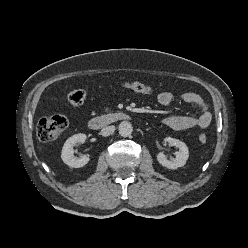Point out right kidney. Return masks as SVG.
<instances>
[{
    "label": "right kidney",
    "mask_w": 248,
    "mask_h": 248,
    "mask_svg": "<svg viewBox=\"0 0 248 248\" xmlns=\"http://www.w3.org/2000/svg\"><path fill=\"white\" fill-rule=\"evenodd\" d=\"M87 136L83 133L75 134L68 138L64 143L61 152V158L65 164L72 168H80L85 166L89 162V157L83 155L81 157H75L73 147L76 143H84Z\"/></svg>",
    "instance_id": "ca27d5eb"
}]
</instances>
